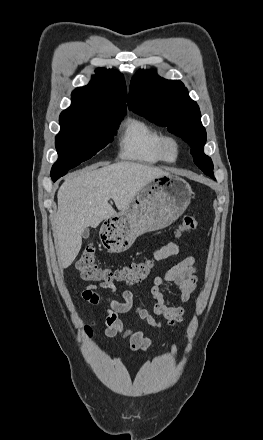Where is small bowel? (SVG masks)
<instances>
[{
  "label": "small bowel",
  "instance_id": "1",
  "mask_svg": "<svg viewBox=\"0 0 263 440\" xmlns=\"http://www.w3.org/2000/svg\"><path fill=\"white\" fill-rule=\"evenodd\" d=\"M179 252V244L170 242L156 249L153 252V258L156 261H162L174 257ZM198 277L195 268V259L188 256L181 260L173 262L171 268L165 274H156L150 286V294L153 300V314L136 299L130 290H124L121 294L122 301L111 296L105 299L107 307L104 321V333L109 338L120 337L128 339L130 349L133 352L146 351L152 344L150 338L144 336L142 331H132L126 329L119 315L128 313L137 302L135 308L136 316L144 320L153 329H159L163 321L169 325H177L183 320L186 310L182 306L169 305L161 287L164 284H174L177 294L176 301L187 302L197 288ZM100 289H109L114 291L115 286H109L105 283L98 285L88 284L81 291V298L86 303L97 306L101 302L99 295Z\"/></svg>",
  "mask_w": 263,
  "mask_h": 440
}]
</instances>
